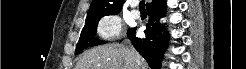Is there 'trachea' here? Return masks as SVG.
<instances>
[{
  "label": "trachea",
  "mask_w": 246,
  "mask_h": 69,
  "mask_svg": "<svg viewBox=\"0 0 246 69\" xmlns=\"http://www.w3.org/2000/svg\"><path fill=\"white\" fill-rule=\"evenodd\" d=\"M139 9H140V11H146L144 0L140 1V3H139Z\"/></svg>",
  "instance_id": "trachea-1"
}]
</instances>
